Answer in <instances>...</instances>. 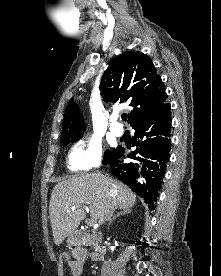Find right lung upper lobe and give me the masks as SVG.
Masks as SVG:
<instances>
[{
	"label": "right lung upper lobe",
	"instance_id": "1",
	"mask_svg": "<svg viewBox=\"0 0 221 276\" xmlns=\"http://www.w3.org/2000/svg\"><path fill=\"white\" fill-rule=\"evenodd\" d=\"M100 91L104 101H127L133 109L129 123L158 112L167 94L151 59L141 52H124L115 57L104 72ZM86 126L78 105L70 99L62 123L61 141L82 137Z\"/></svg>",
	"mask_w": 221,
	"mask_h": 276
}]
</instances>
